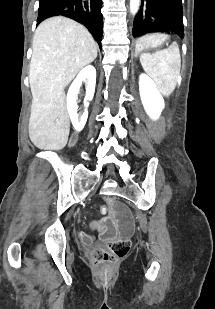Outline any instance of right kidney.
Listing matches in <instances>:
<instances>
[{"mask_svg": "<svg viewBox=\"0 0 215 309\" xmlns=\"http://www.w3.org/2000/svg\"><path fill=\"white\" fill-rule=\"evenodd\" d=\"M86 78L88 82L86 88L85 106H89V102H87V100H91V98H93L96 84V68H94L92 64H88V66H85V68H82V70H80L79 74H77L75 80H73L67 92V108L70 114V118L72 120V124L74 128H76V130H82L88 118V110L86 108L82 116H80L79 120L77 112L78 106L76 102V96L79 92L82 80H86Z\"/></svg>", "mask_w": 215, "mask_h": 309, "instance_id": "obj_1", "label": "right kidney"}]
</instances>
